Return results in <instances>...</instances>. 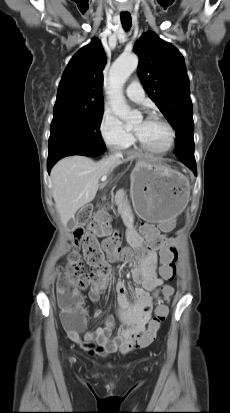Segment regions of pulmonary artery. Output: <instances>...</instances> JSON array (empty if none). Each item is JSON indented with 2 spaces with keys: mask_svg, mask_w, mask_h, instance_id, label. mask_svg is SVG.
I'll return each mask as SVG.
<instances>
[{
  "mask_svg": "<svg viewBox=\"0 0 230 413\" xmlns=\"http://www.w3.org/2000/svg\"><path fill=\"white\" fill-rule=\"evenodd\" d=\"M126 95L129 99L135 102H142L145 93L137 79H133L126 88Z\"/></svg>",
  "mask_w": 230,
  "mask_h": 413,
  "instance_id": "1",
  "label": "pulmonary artery"
}]
</instances>
